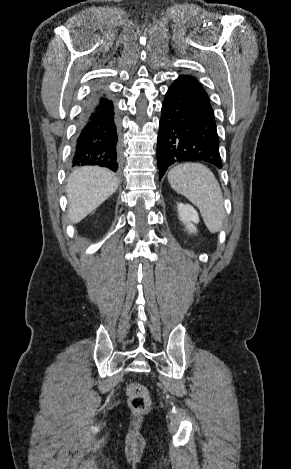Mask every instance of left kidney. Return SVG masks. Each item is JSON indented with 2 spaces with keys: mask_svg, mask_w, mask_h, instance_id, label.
Wrapping results in <instances>:
<instances>
[{
  "mask_svg": "<svg viewBox=\"0 0 291 469\" xmlns=\"http://www.w3.org/2000/svg\"><path fill=\"white\" fill-rule=\"evenodd\" d=\"M178 214L180 221L185 224L188 232L195 233L196 227L193 223L197 224L199 222V215L193 206L189 204L179 203L177 205Z\"/></svg>",
  "mask_w": 291,
  "mask_h": 469,
  "instance_id": "left-kidney-1",
  "label": "left kidney"
}]
</instances>
